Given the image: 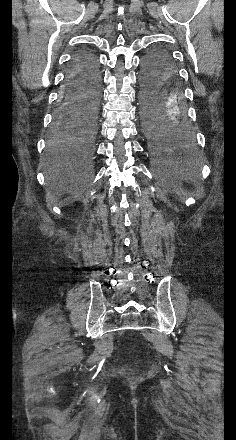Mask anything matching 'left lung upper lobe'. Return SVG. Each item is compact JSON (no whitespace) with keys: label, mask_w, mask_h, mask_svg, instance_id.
<instances>
[{"label":"left lung upper lobe","mask_w":236,"mask_h":440,"mask_svg":"<svg viewBox=\"0 0 236 440\" xmlns=\"http://www.w3.org/2000/svg\"><path fill=\"white\" fill-rule=\"evenodd\" d=\"M165 52L166 50L163 48L154 49L145 57L143 63L151 64L158 58V56L162 55Z\"/></svg>","instance_id":"left-lung-upper-lobe-1"}]
</instances>
